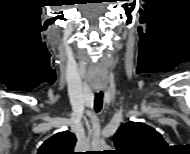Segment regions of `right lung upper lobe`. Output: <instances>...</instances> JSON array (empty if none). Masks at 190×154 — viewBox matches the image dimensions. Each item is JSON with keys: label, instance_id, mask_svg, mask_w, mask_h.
Instances as JSON below:
<instances>
[{"label": "right lung upper lobe", "instance_id": "1", "mask_svg": "<svg viewBox=\"0 0 190 154\" xmlns=\"http://www.w3.org/2000/svg\"><path fill=\"white\" fill-rule=\"evenodd\" d=\"M76 137L69 131L59 132L46 140L37 154H75Z\"/></svg>", "mask_w": 190, "mask_h": 154}]
</instances>
